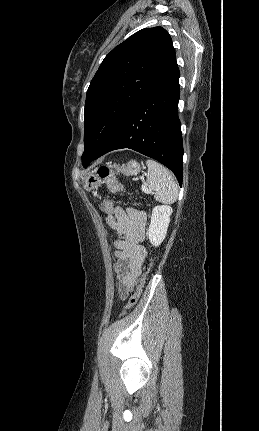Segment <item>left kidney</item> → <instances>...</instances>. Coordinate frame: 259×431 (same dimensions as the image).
<instances>
[{
  "label": "left kidney",
  "instance_id": "1",
  "mask_svg": "<svg viewBox=\"0 0 259 431\" xmlns=\"http://www.w3.org/2000/svg\"><path fill=\"white\" fill-rule=\"evenodd\" d=\"M171 214L172 208L170 206L159 205L153 208L148 230L149 240L153 246H159L165 239Z\"/></svg>",
  "mask_w": 259,
  "mask_h": 431
}]
</instances>
